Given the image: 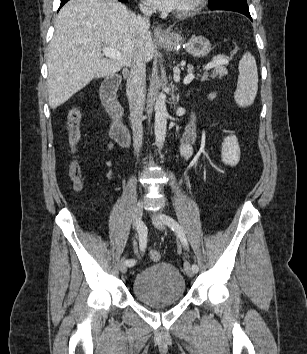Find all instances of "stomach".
<instances>
[{
	"mask_svg": "<svg viewBox=\"0 0 307 354\" xmlns=\"http://www.w3.org/2000/svg\"><path fill=\"white\" fill-rule=\"evenodd\" d=\"M157 44L168 51H177L184 44L183 37L177 32H170L164 39H158ZM186 51L195 58L207 56L211 51V43L204 36L193 35L186 43Z\"/></svg>",
	"mask_w": 307,
	"mask_h": 354,
	"instance_id": "1",
	"label": "stomach"
}]
</instances>
